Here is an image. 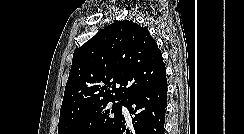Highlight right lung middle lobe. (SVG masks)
Instances as JSON below:
<instances>
[{"instance_id": "dd1d6c3e", "label": "right lung middle lobe", "mask_w": 244, "mask_h": 134, "mask_svg": "<svg viewBox=\"0 0 244 134\" xmlns=\"http://www.w3.org/2000/svg\"><path fill=\"white\" fill-rule=\"evenodd\" d=\"M116 100L99 103L74 117L59 120L58 134H105L122 112L124 100L115 103Z\"/></svg>"}]
</instances>
